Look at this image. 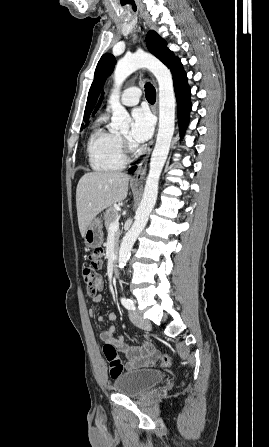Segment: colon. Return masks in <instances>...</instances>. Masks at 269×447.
Masks as SVG:
<instances>
[{"label":"colon","mask_w":269,"mask_h":447,"mask_svg":"<svg viewBox=\"0 0 269 447\" xmlns=\"http://www.w3.org/2000/svg\"><path fill=\"white\" fill-rule=\"evenodd\" d=\"M103 252L96 249L90 252L89 260L82 267V277L86 285V294L94 297L103 286V277L98 271H102ZM151 352L150 349L138 348L131 350V353L144 355ZM103 354L108 361V375L113 379H118L124 374V365L121 362L117 350L110 344L103 346ZM172 363L171 358L167 355L155 356L151 365L168 367Z\"/></svg>","instance_id":"1"}]
</instances>
